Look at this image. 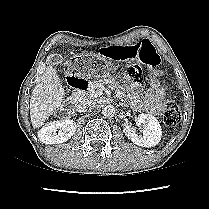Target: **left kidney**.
<instances>
[{
  "label": "left kidney",
  "mask_w": 209,
  "mask_h": 209,
  "mask_svg": "<svg viewBox=\"0 0 209 209\" xmlns=\"http://www.w3.org/2000/svg\"><path fill=\"white\" fill-rule=\"evenodd\" d=\"M137 122L144 126L143 135H138L129 124L123 127L124 134L138 146L148 148L157 145L161 140L162 129L156 117L150 114H139Z\"/></svg>",
  "instance_id": "1"
}]
</instances>
